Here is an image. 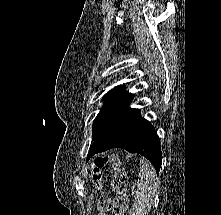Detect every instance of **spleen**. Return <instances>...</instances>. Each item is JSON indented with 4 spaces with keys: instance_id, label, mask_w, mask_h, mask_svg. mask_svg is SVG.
<instances>
[{
    "instance_id": "3e777b00",
    "label": "spleen",
    "mask_w": 221,
    "mask_h": 215,
    "mask_svg": "<svg viewBox=\"0 0 221 215\" xmlns=\"http://www.w3.org/2000/svg\"><path fill=\"white\" fill-rule=\"evenodd\" d=\"M159 184L153 166L145 159L140 160L139 178L132 186L134 196L132 215H148Z\"/></svg>"
}]
</instances>
